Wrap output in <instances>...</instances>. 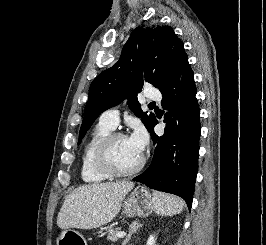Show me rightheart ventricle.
<instances>
[{
  "label": "right heart ventricle",
  "mask_w": 266,
  "mask_h": 245,
  "mask_svg": "<svg viewBox=\"0 0 266 245\" xmlns=\"http://www.w3.org/2000/svg\"><path fill=\"white\" fill-rule=\"evenodd\" d=\"M112 129L113 127L98 122L86 139L80 162V177L86 184L98 185L108 180V178L101 174L96 168L94 153L100 142L112 131Z\"/></svg>",
  "instance_id": "e07e8e85"
}]
</instances>
